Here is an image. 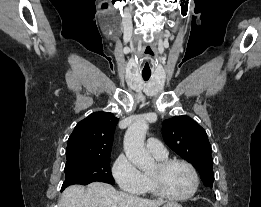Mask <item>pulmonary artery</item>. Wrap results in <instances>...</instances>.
I'll list each match as a JSON object with an SVG mask.
<instances>
[{"instance_id":"1","label":"pulmonary artery","mask_w":261,"mask_h":207,"mask_svg":"<svg viewBox=\"0 0 261 207\" xmlns=\"http://www.w3.org/2000/svg\"><path fill=\"white\" fill-rule=\"evenodd\" d=\"M147 148L150 153L155 157H166L167 150L164 145L155 138H150L147 141Z\"/></svg>"}]
</instances>
